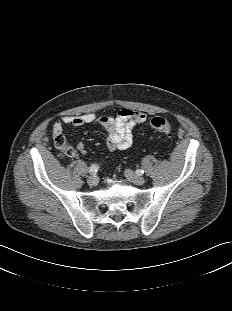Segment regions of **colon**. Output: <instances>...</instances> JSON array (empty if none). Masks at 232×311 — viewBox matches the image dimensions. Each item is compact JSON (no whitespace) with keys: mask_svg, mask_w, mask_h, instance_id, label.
I'll return each mask as SVG.
<instances>
[{"mask_svg":"<svg viewBox=\"0 0 232 311\" xmlns=\"http://www.w3.org/2000/svg\"><path fill=\"white\" fill-rule=\"evenodd\" d=\"M150 126L154 130H156V131H158L160 133H163V134H165L167 136H171L172 133H173V128H172L171 124L164 117H154V118H152L150 120ZM55 141H56L57 145L59 146V148L64 153V155L72 156L74 154L73 148L66 143V141H65L63 136L56 137Z\"/></svg>","mask_w":232,"mask_h":311,"instance_id":"obj_1","label":"colon"}]
</instances>
